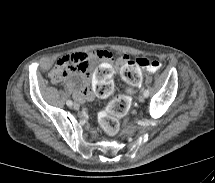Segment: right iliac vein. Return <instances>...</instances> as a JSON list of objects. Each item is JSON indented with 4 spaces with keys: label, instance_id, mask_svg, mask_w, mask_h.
Instances as JSON below:
<instances>
[{
    "label": "right iliac vein",
    "instance_id": "right-iliac-vein-1",
    "mask_svg": "<svg viewBox=\"0 0 215 183\" xmlns=\"http://www.w3.org/2000/svg\"><path fill=\"white\" fill-rule=\"evenodd\" d=\"M73 108H74L75 110H79L80 105H79L78 103H75V104L73 105Z\"/></svg>",
    "mask_w": 215,
    "mask_h": 183
}]
</instances>
